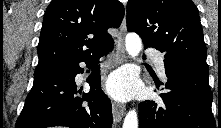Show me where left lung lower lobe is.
<instances>
[{"mask_svg":"<svg viewBox=\"0 0 221 128\" xmlns=\"http://www.w3.org/2000/svg\"><path fill=\"white\" fill-rule=\"evenodd\" d=\"M164 65L168 91L139 104V128H216L208 70L170 58Z\"/></svg>","mask_w":221,"mask_h":128,"instance_id":"1","label":"left lung lower lobe"}]
</instances>
